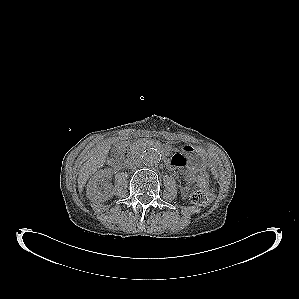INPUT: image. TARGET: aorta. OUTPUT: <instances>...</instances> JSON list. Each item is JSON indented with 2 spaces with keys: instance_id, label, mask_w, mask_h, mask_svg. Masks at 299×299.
<instances>
[{
  "instance_id": "aorta-1",
  "label": "aorta",
  "mask_w": 299,
  "mask_h": 299,
  "mask_svg": "<svg viewBox=\"0 0 299 299\" xmlns=\"http://www.w3.org/2000/svg\"><path fill=\"white\" fill-rule=\"evenodd\" d=\"M142 160L147 165H156L161 160V153L156 148H148L144 151Z\"/></svg>"
}]
</instances>
